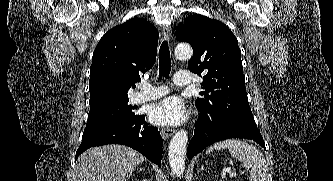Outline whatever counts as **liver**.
Returning <instances> with one entry per match:
<instances>
[{
	"label": "liver",
	"mask_w": 333,
	"mask_h": 181,
	"mask_svg": "<svg viewBox=\"0 0 333 181\" xmlns=\"http://www.w3.org/2000/svg\"><path fill=\"white\" fill-rule=\"evenodd\" d=\"M143 161L142 154L123 145L92 147L78 157L74 181H128Z\"/></svg>",
	"instance_id": "liver-1"
}]
</instances>
